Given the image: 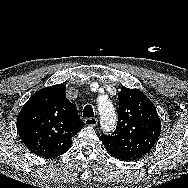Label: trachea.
Segmentation results:
<instances>
[{"mask_svg":"<svg viewBox=\"0 0 188 188\" xmlns=\"http://www.w3.org/2000/svg\"><path fill=\"white\" fill-rule=\"evenodd\" d=\"M83 117H94L93 108L90 105L85 106L83 110Z\"/></svg>","mask_w":188,"mask_h":188,"instance_id":"1","label":"trachea"}]
</instances>
